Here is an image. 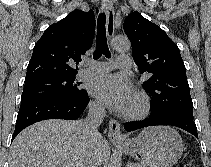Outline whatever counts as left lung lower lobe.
<instances>
[{
	"mask_svg": "<svg viewBox=\"0 0 211 167\" xmlns=\"http://www.w3.org/2000/svg\"><path fill=\"white\" fill-rule=\"evenodd\" d=\"M156 125H171L182 128L198 138L197 128L192 118L183 115L150 116L141 121L127 122L124 125L126 131L130 132L140 128Z\"/></svg>",
	"mask_w": 211,
	"mask_h": 167,
	"instance_id": "obj_1",
	"label": "left lung lower lobe"
}]
</instances>
